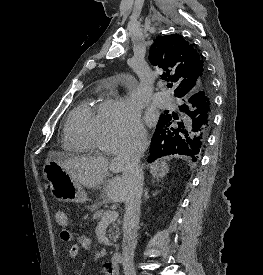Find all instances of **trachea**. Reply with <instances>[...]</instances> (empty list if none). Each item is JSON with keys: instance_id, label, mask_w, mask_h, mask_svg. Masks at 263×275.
Instances as JSON below:
<instances>
[{"instance_id": "3493384b", "label": "trachea", "mask_w": 263, "mask_h": 275, "mask_svg": "<svg viewBox=\"0 0 263 275\" xmlns=\"http://www.w3.org/2000/svg\"><path fill=\"white\" fill-rule=\"evenodd\" d=\"M167 87H168V88H171V87H172V84H167Z\"/></svg>"}]
</instances>
